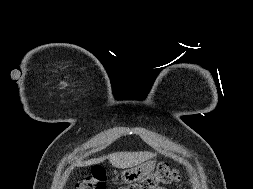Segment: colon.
Segmentation results:
<instances>
[{"instance_id": "5ec220e1", "label": "colon", "mask_w": 253, "mask_h": 189, "mask_svg": "<svg viewBox=\"0 0 253 189\" xmlns=\"http://www.w3.org/2000/svg\"><path fill=\"white\" fill-rule=\"evenodd\" d=\"M178 180V173L168 164H160L155 171L137 182L129 183L119 189H160L163 184H170ZM76 189H106V173L100 168L92 172L76 184Z\"/></svg>"}]
</instances>
